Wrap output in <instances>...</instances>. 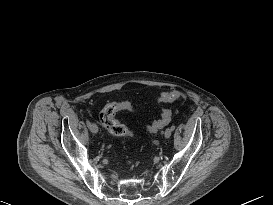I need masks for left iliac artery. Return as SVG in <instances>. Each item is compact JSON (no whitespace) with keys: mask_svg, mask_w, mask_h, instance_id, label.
Returning a JSON list of instances; mask_svg holds the SVG:
<instances>
[{"mask_svg":"<svg viewBox=\"0 0 273 205\" xmlns=\"http://www.w3.org/2000/svg\"><path fill=\"white\" fill-rule=\"evenodd\" d=\"M174 129H175V126L172 125V126H171V131H174Z\"/></svg>","mask_w":273,"mask_h":205,"instance_id":"obj_1","label":"left iliac artery"}]
</instances>
